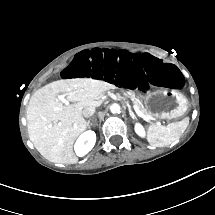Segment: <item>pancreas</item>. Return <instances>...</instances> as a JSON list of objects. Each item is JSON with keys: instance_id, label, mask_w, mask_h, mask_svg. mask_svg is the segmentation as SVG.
Wrapping results in <instances>:
<instances>
[{"instance_id": "cf45deb5", "label": "pancreas", "mask_w": 215, "mask_h": 215, "mask_svg": "<svg viewBox=\"0 0 215 215\" xmlns=\"http://www.w3.org/2000/svg\"><path fill=\"white\" fill-rule=\"evenodd\" d=\"M132 100V103L134 106H137L141 112H143L145 115H149L150 113L144 108L142 101L140 100L139 96H136L135 93H131L129 96Z\"/></svg>"}]
</instances>
